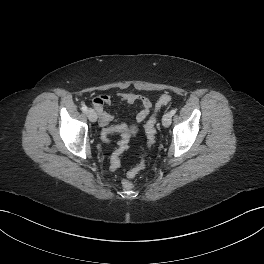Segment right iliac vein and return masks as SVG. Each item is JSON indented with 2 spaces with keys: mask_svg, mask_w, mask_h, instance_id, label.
Wrapping results in <instances>:
<instances>
[{
  "mask_svg": "<svg viewBox=\"0 0 264 264\" xmlns=\"http://www.w3.org/2000/svg\"><path fill=\"white\" fill-rule=\"evenodd\" d=\"M86 115L91 122H95L97 120V114L91 108L86 111Z\"/></svg>",
  "mask_w": 264,
  "mask_h": 264,
  "instance_id": "1",
  "label": "right iliac vein"
}]
</instances>
